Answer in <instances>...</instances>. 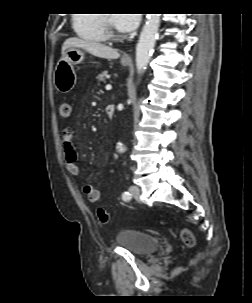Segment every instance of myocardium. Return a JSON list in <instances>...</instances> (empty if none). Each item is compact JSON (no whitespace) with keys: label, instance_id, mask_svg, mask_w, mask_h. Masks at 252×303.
<instances>
[{"label":"myocardium","instance_id":"f54148a6","mask_svg":"<svg viewBox=\"0 0 252 303\" xmlns=\"http://www.w3.org/2000/svg\"><path fill=\"white\" fill-rule=\"evenodd\" d=\"M102 20H103V28L106 37L114 38L120 36L119 33L116 31V29L113 27L112 23L110 22L107 14H102Z\"/></svg>","mask_w":252,"mask_h":303}]
</instances>
